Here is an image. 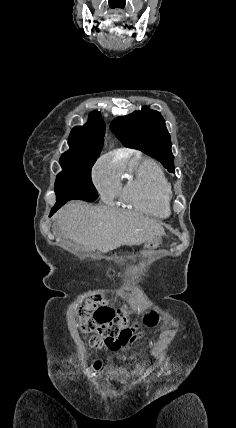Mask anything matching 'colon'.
<instances>
[{"label":"colon","instance_id":"1","mask_svg":"<svg viewBox=\"0 0 236 428\" xmlns=\"http://www.w3.org/2000/svg\"><path fill=\"white\" fill-rule=\"evenodd\" d=\"M79 323L81 330L90 335L89 344L95 348L116 350L136 334V327L130 325L128 310L108 307L106 298L100 292L93 294L80 309ZM145 324L154 326L156 318L146 316Z\"/></svg>","mask_w":236,"mask_h":428}]
</instances>
